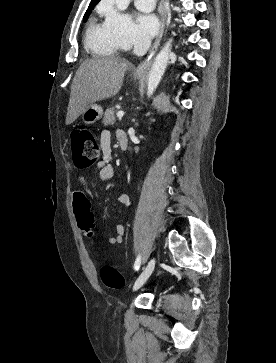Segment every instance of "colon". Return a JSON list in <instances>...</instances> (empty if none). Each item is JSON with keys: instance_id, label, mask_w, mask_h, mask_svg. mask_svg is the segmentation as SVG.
Masks as SVG:
<instances>
[{"instance_id": "1", "label": "colon", "mask_w": 276, "mask_h": 363, "mask_svg": "<svg viewBox=\"0 0 276 363\" xmlns=\"http://www.w3.org/2000/svg\"><path fill=\"white\" fill-rule=\"evenodd\" d=\"M71 148L74 162L80 168L90 167L98 161L99 146L95 135L89 129L81 128L72 132ZM92 224L93 219L92 221L82 218L78 220V225L82 230H87ZM100 277L103 283L112 289L122 288L125 284L123 275L112 266H103Z\"/></svg>"}]
</instances>
